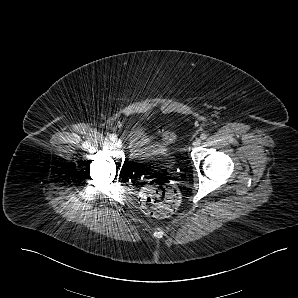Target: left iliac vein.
<instances>
[{
  "mask_svg": "<svg viewBox=\"0 0 298 298\" xmlns=\"http://www.w3.org/2000/svg\"><path fill=\"white\" fill-rule=\"evenodd\" d=\"M201 145V139L196 138L193 142L194 147H199Z\"/></svg>",
  "mask_w": 298,
  "mask_h": 298,
  "instance_id": "obj_1",
  "label": "left iliac vein"
}]
</instances>
